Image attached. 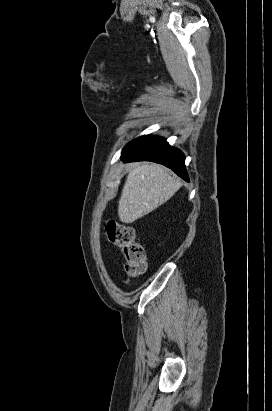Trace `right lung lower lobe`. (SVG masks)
I'll return each instance as SVG.
<instances>
[{
  "instance_id": "obj_1",
  "label": "right lung lower lobe",
  "mask_w": 272,
  "mask_h": 411,
  "mask_svg": "<svg viewBox=\"0 0 272 411\" xmlns=\"http://www.w3.org/2000/svg\"><path fill=\"white\" fill-rule=\"evenodd\" d=\"M121 157L125 162L152 161L163 164L185 181H189L184 154L171 147L165 138L151 135L136 138L124 147Z\"/></svg>"
}]
</instances>
